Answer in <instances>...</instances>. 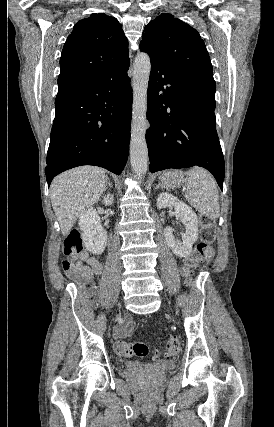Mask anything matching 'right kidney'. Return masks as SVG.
Returning <instances> with one entry per match:
<instances>
[{
    "label": "right kidney",
    "instance_id": "ca27d5eb",
    "mask_svg": "<svg viewBox=\"0 0 274 427\" xmlns=\"http://www.w3.org/2000/svg\"><path fill=\"white\" fill-rule=\"evenodd\" d=\"M103 204H105V206H111V204H113V196L108 194L107 198H104ZM78 223L81 229V239L84 247L89 249L91 253H95V255L102 253L107 243V231H104V227H102L99 214H97L96 210L89 208V210L82 212Z\"/></svg>",
    "mask_w": 274,
    "mask_h": 427
}]
</instances>
